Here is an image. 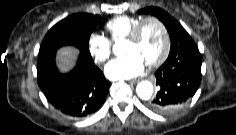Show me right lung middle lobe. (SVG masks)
I'll return each mask as SVG.
<instances>
[{
  "label": "right lung middle lobe",
  "instance_id": "obj_1",
  "mask_svg": "<svg viewBox=\"0 0 236 135\" xmlns=\"http://www.w3.org/2000/svg\"><path fill=\"white\" fill-rule=\"evenodd\" d=\"M101 17L87 13H77L66 17L54 25L45 35L39 50V58L55 55L65 45H73L90 55L89 39Z\"/></svg>",
  "mask_w": 236,
  "mask_h": 135
}]
</instances>
